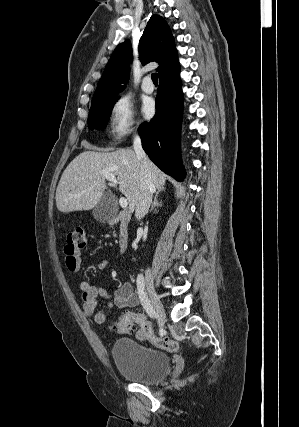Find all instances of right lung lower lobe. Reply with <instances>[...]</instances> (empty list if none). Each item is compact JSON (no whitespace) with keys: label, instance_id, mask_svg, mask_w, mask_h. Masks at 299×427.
<instances>
[{"label":"right lung lower lobe","instance_id":"right-lung-lower-lobe-1","mask_svg":"<svg viewBox=\"0 0 299 427\" xmlns=\"http://www.w3.org/2000/svg\"><path fill=\"white\" fill-rule=\"evenodd\" d=\"M183 94L179 70L160 78L156 113L139 127L142 146L149 158L176 180L185 178L180 154Z\"/></svg>","mask_w":299,"mask_h":427}]
</instances>
